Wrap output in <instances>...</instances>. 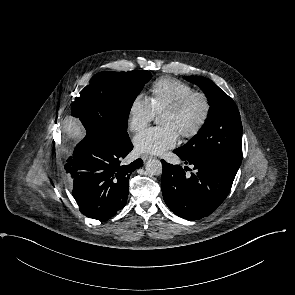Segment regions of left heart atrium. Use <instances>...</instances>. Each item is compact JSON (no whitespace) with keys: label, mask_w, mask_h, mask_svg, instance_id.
Returning a JSON list of instances; mask_svg holds the SVG:
<instances>
[{"label":"left heart atrium","mask_w":295,"mask_h":295,"mask_svg":"<svg viewBox=\"0 0 295 295\" xmlns=\"http://www.w3.org/2000/svg\"><path fill=\"white\" fill-rule=\"evenodd\" d=\"M179 138V133L172 127L161 126L148 128L134 138L137 152L161 155L173 148Z\"/></svg>","instance_id":"39dd6f15"}]
</instances>
